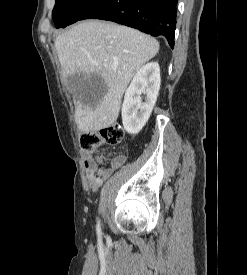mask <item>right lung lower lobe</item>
<instances>
[{
	"mask_svg": "<svg viewBox=\"0 0 247 275\" xmlns=\"http://www.w3.org/2000/svg\"><path fill=\"white\" fill-rule=\"evenodd\" d=\"M178 0H99L80 17L113 21L152 36L163 35L174 47Z\"/></svg>",
	"mask_w": 247,
	"mask_h": 275,
	"instance_id": "1",
	"label": "right lung lower lobe"
}]
</instances>
